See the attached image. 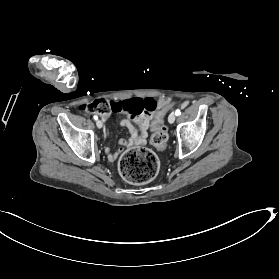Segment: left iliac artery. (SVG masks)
Instances as JSON below:
<instances>
[{
	"instance_id": "44dca946",
	"label": "left iliac artery",
	"mask_w": 279,
	"mask_h": 279,
	"mask_svg": "<svg viewBox=\"0 0 279 279\" xmlns=\"http://www.w3.org/2000/svg\"><path fill=\"white\" fill-rule=\"evenodd\" d=\"M180 114H181L180 109H177V110L175 111V115L178 116V115H180Z\"/></svg>"
}]
</instances>
